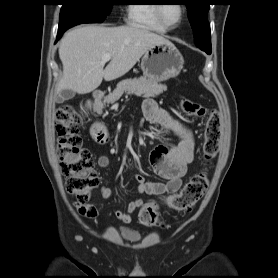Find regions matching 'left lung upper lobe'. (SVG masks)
Wrapping results in <instances>:
<instances>
[{"mask_svg":"<svg viewBox=\"0 0 278 278\" xmlns=\"http://www.w3.org/2000/svg\"><path fill=\"white\" fill-rule=\"evenodd\" d=\"M188 18L194 32V42L197 47L211 50L210 24L207 20L209 0H185Z\"/></svg>","mask_w":278,"mask_h":278,"instance_id":"left-lung-upper-lobe-1","label":"left lung upper lobe"}]
</instances>
